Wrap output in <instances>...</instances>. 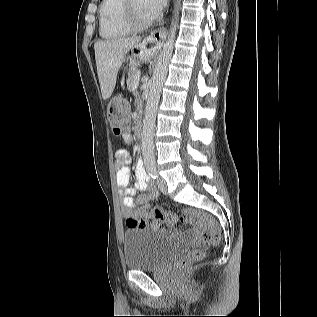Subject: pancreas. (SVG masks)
I'll list each match as a JSON object with an SVG mask.
<instances>
[{
  "mask_svg": "<svg viewBox=\"0 0 317 317\" xmlns=\"http://www.w3.org/2000/svg\"><path fill=\"white\" fill-rule=\"evenodd\" d=\"M136 74H137V71L135 69V72H133L132 75H128V78L126 80L127 82V92L128 93H133L134 92V88H135V83H134V80H135V77H136Z\"/></svg>",
  "mask_w": 317,
  "mask_h": 317,
  "instance_id": "1",
  "label": "pancreas"
}]
</instances>
